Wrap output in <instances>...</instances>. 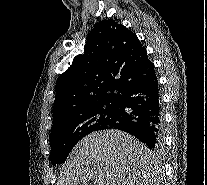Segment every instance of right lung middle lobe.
<instances>
[{
    "label": "right lung middle lobe",
    "instance_id": "right-lung-middle-lobe-1",
    "mask_svg": "<svg viewBox=\"0 0 207 185\" xmlns=\"http://www.w3.org/2000/svg\"><path fill=\"white\" fill-rule=\"evenodd\" d=\"M117 103H109L69 117L52 127L50 161L53 165L66 161L67 156L84 136L117 120Z\"/></svg>",
    "mask_w": 207,
    "mask_h": 185
}]
</instances>
